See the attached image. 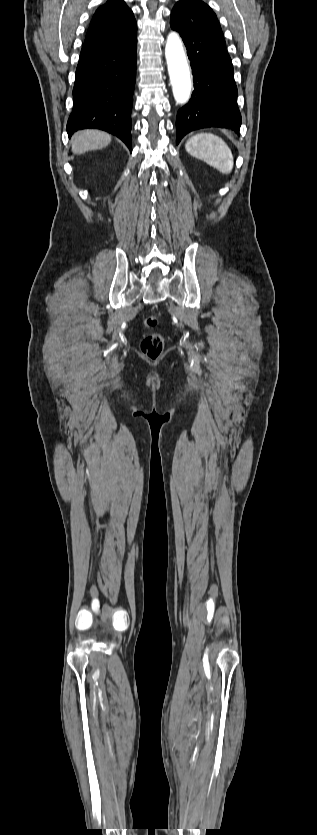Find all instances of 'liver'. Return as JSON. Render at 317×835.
<instances>
[{"label":"liver","mask_w":317,"mask_h":835,"mask_svg":"<svg viewBox=\"0 0 317 835\" xmlns=\"http://www.w3.org/2000/svg\"><path fill=\"white\" fill-rule=\"evenodd\" d=\"M111 142V136L98 130H85L75 133L72 140V152L82 154L91 150L102 149Z\"/></svg>","instance_id":"1"}]
</instances>
